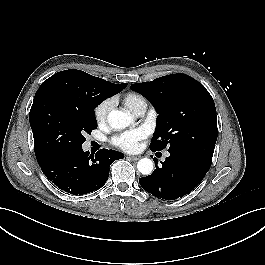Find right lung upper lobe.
I'll return each instance as SVG.
<instances>
[{"instance_id": "1", "label": "right lung upper lobe", "mask_w": 265, "mask_h": 265, "mask_svg": "<svg viewBox=\"0 0 265 265\" xmlns=\"http://www.w3.org/2000/svg\"><path fill=\"white\" fill-rule=\"evenodd\" d=\"M126 86L127 83L113 84L80 70H65L45 80L35 96L52 92L70 101H82L91 97H101L104 100L119 93Z\"/></svg>"}]
</instances>
